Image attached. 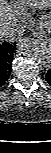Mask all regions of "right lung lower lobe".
<instances>
[{
  "label": "right lung lower lobe",
  "mask_w": 51,
  "mask_h": 153,
  "mask_svg": "<svg viewBox=\"0 0 51 153\" xmlns=\"http://www.w3.org/2000/svg\"><path fill=\"white\" fill-rule=\"evenodd\" d=\"M15 50V43H0V87L8 80L10 76Z\"/></svg>",
  "instance_id": "98d812e1"
}]
</instances>
